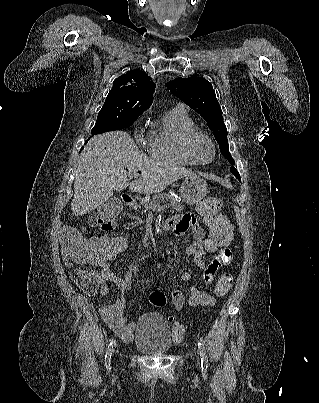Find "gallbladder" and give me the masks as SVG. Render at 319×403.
I'll return each instance as SVG.
<instances>
[{
  "instance_id": "obj_1",
  "label": "gallbladder",
  "mask_w": 319,
  "mask_h": 403,
  "mask_svg": "<svg viewBox=\"0 0 319 403\" xmlns=\"http://www.w3.org/2000/svg\"><path fill=\"white\" fill-rule=\"evenodd\" d=\"M117 200L116 199H111L107 204H105L103 207L106 210H113V205L115 204Z\"/></svg>"
}]
</instances>
